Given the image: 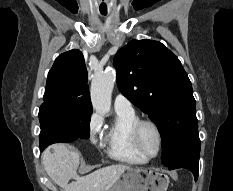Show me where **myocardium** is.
I'll use <instances>...</instances> for the list:
<instances>
[{"label": "myocardium", "mask_w": 233, "mask_h": 191, "mask_svg": "<svg viewBox=\"0 0 233 191\" xmlns=\"http://www.w3.org/2000/svg\"><path fill=\"white\" fill-rule=\"evenodd\" d=\"M144 126H150L154 129V131L156 132L157 135V139H158V146H157V151L154 155H148L144 152L141 143H140V132L141 129ZM131 138H132V142L135 146V148L138 150V152L144 156L146 159H153L156 158L162 149V132L159 128V126L152 120L150 119H139L132 127L131 129Z\"/></svg>", "instance_id": "myocardium-1"}]
</instances>
